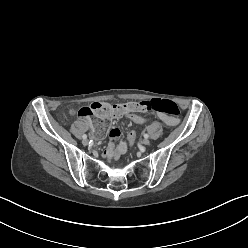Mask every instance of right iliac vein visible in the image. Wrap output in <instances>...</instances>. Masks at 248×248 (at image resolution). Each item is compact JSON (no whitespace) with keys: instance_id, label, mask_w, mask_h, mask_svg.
Listing matches in <instances>:
<instances>
[{"instance_id":"63e3f726","label":"right iliac vein","mask_w":248,"mask_h":248,"mask_svg":"<svg viewBox=\"0 0 248 248\" xmlns=\"http://www.w3.org/2000/svg\"><path fill=\"white\" fill-rule=\"evenodd\" d=\"M82 143L83 145H88L89 141L87 139H83Z\"/></svg>"}]
</instances>
